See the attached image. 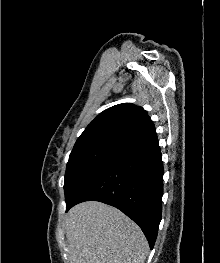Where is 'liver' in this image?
<instances>
[{
    "instance_id": "obj_1",
    "label": "liver",
    "mask_w": 220,
    "mask_h": 263,
    "mask_svg": "<svg viewBox=\"0 0 220 263\" xmlns=\"http://www.w3.org/2000/svg\"><path fill=\"white\" fill-rule=\"evenodd\" d=\"M71 263H144L148 242L115 207L96 201L74 206L65 219Z\"/></svg>"
}]
</instances>
